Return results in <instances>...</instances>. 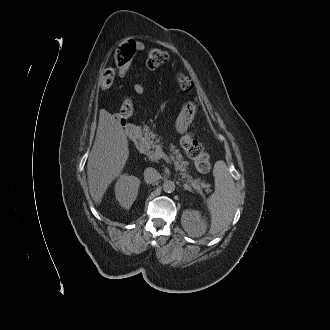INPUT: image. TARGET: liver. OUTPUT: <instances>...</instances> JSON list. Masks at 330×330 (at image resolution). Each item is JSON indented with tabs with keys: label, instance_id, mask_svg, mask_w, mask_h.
Instances as JSON below:
<instances>
[{
	"label": "liver",
	"instance_id": "obj_1",
	"mask_svg": "<svg viewBox=\"0 0 330 330\" xmlns=\"http://www.w3.org/2000/svg\"><path fill=\"white\" fill-rule=\"evenodd\" d=\"M129 157L128 140L119 121L100 110L95 141L87 163L90 195L100 203L109 184L119 176Z\"/></svg>",
	"mask_w": 330,
	"mask_h": 330
}]
</instances>
